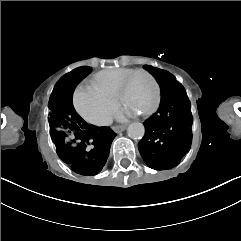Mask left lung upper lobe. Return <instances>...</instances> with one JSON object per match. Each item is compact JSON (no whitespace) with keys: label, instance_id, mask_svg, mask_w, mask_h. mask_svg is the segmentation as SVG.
Listing matches in <instances>:
<instances>
[{"label":"left lung upper lobe","instance_id":"left-lung-upper-lobe-1","mask_svg":"<svg viewBox=\"0 0 241 241\" xmlns=\"http://www.w3.org/2000/svg\"><path fill=\"white\" fill-rule=\"evenodd\" d=\"M144 68L151 72L157 79L161 87V93H164L169 88L180 86L175 77L169 72L148 65H145Z\"/></svg>","mask_w":241,"mask_h":241}]
</instances>
